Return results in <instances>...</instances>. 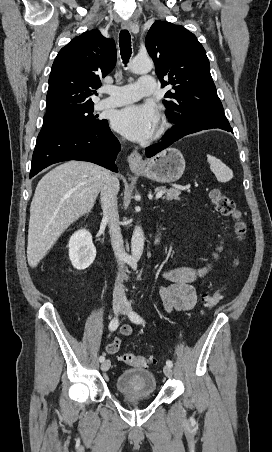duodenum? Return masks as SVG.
<instances>
[{
	"label": "duodenum",
	"instance_id": "duodenum-1",
	"mask_svg": "<svg viewBox=\"0 0 272 452\" xmlns=\"http://www.w3.org/2000/svg\"><path fill=\"white\" fill-rule=\"evenodd\" d=\"M160 241V233L158 232L155 239H154V244H158Z\"/></svg>",
	"mask_w": 272,
	"mask_h": 452
}]
</instances>
